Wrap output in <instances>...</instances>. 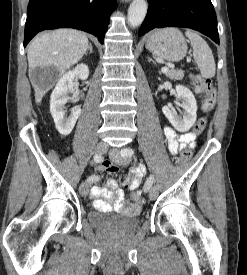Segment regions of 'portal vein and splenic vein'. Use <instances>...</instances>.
<instances>
[{
    "instance_id": "portal-vein-and-splenic-vein-1",
    "label": "portal vein and splenic vein",
    "mask_w": 247,
    "mask_h": 275,
    "mask_svg": "<svg viewBox=\"0 0 247 275\" xmlns=\"http://www.w3.org/2000/svg\"><path fill=\"white\" fill-rule=\"evenodd\" d=\"M169 71V68L168 67H163L162 69H161V72L162 73H167Z\"/></svg>"
}]
</instances>
